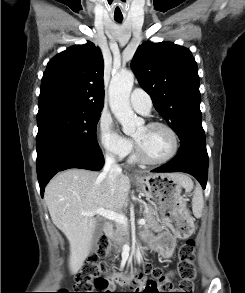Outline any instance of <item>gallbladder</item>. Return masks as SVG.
<instances>
[{"label":"gallbladder","instance_id":"bac80fb5","mask_svg":"<svg viewBox=\"0 0 245 293\" xmlns=\"http://www.w3.org/2000/svg\"><path fill=\"white\" fill-rule=\"evenodd\" d=\"M103 228H104L103 222H97V225L93 234V238H92L91 252H94L96 250L97 243L100 237L103 235Z\"/></svg>","mask_w":245,"mask_h":293}]
</instances>
